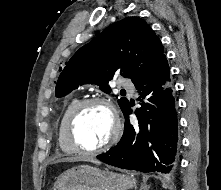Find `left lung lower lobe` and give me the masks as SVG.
<instances>
[{
	"mask_svg": "<svg viewBox=\"0 0 221 190\" xmlns=\"http://www.w3.org/2000/svg\"><path fill=\"white\" fill-rule=\"evenodd\" d=\"M141 107L132 125L131 106L123 112L124 133L118 144L97 158L118 168L140 172L173 173L178 164L179 135L170 68L165 55L134 83Z\"/></svg>",
	"mask_w": 221,
	"mask_h": 190,
	"instance_id": "1",
	"label": "left lung lower lobe"
}]
</instances>
